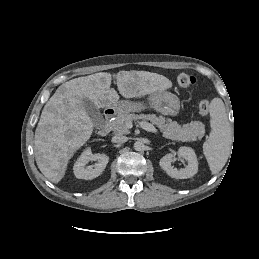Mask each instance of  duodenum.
Returning <instances> with one entry per match:
<instances>
[{
  "label": "duodenum",
  "instance_id": "obj_1",
  "mask_svg": "<svg viewBox=\"0 0 259 259\" xmlns=\"http://www.w3.org/2000/svg\"><path fill=\"white\" fill-rule=\"evenodd\" d=\"M118 111L115 108H108L105 111V123L98 128L97 132L101 136H105L110 132L111 122L116 117Z\"/></svg>",
  "mask_w": 259,
  "mask_h": 259
}]
</instances>
